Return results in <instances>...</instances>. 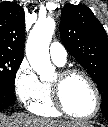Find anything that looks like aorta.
<instances>
[{"label": "aorta", "mask_w": 108, "mask_h": 127, "mask_svg": "<svg viewBox=\"0 0 108 127\" xmlns=\"http://www.w3.org/2000/svg\"><path fill=\"white\" fill-rule=\"evenodd\" d=\"M55 26L56 23L51 17L38 20L31 30L26 44L27 59L42 81L50 80L55 72L49 55V44Z\"/></svg>", "instance_id": "1"}]
</instances>
